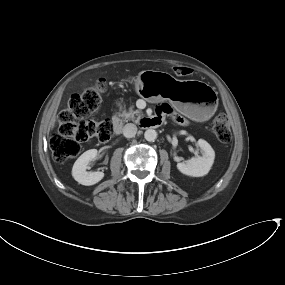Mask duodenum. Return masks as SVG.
I'll list each match as a JSON object with an SVG mask.
<instances>
[{"label":"duodenum","mask_w":285,"mask_h":285,"mask_svg":"<svg viewBox=\"0 0 285 285\" xmlns=\"http://www.w3.org/2000/svg\"><path fill=\"white\" fill-rule=\"evenodd\" d=\"M113 129H114V132L119 134L122 130V121L120 120V117L115 115L113 116ZM147 123L149 125H157V121L155 120V118H148L146 119Z\"/></svg>","instance_id":"obj_1"}]
</instances>
